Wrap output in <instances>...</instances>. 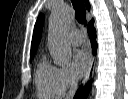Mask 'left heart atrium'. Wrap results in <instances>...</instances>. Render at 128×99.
Returning a JSON list of instances; mask_svg holds the SVG:
<instances>
[{
    "label": "left heart atrium",
    "mask_w": 128,
    "mask_h": 99,
    "mask_svg": "<svg viewBox=\"0 0 128 99\" xmlns=\"http://www.w3.org/2000/svg\"><path fill=\"white\" fill-rule=\"evenodd\" d=\"M90 65V57L86 50H78L72 58V67L76 76H83Z\"/></svg>",
    "instance_id": "1"
}]
</instances>
